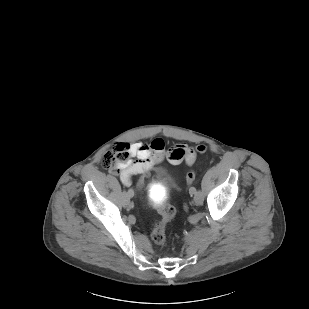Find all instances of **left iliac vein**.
I'll use <instances>...</instances> for the list:
<instances>
[{"instance_id": "4c4485c4", "label": "left iliac vein", "mask_w": 309, "mask_h": 309, "mask_svg": "<svg viewBox=\"0 0 309 309\" xmlns=\"http://www.w3.org/2000/svg\"><path fill=\"white\" fill-rule=\"evenodd\" d=\"M204 200L203 194L201 191H196V193L194 194V198L193 201L196 205H200L202 204Z\"/></svg>"}]
</instances>
